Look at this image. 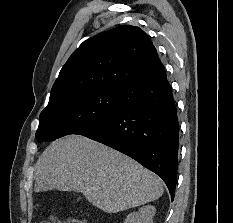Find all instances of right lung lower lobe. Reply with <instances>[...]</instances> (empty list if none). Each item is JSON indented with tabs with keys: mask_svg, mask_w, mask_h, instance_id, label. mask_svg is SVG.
Returning a JSON list of instances; mask_svg holds the SVG:
<instances>
[{
	"mask_svg": "<svg viewBox=\"0 0 233 223\" xmlns=\"http://www.w3.org/2000/svg\"><path fill=\"white\" fill-rule=\"evenodd\" d=\"M120 109L80 135L138 161L166 183L172 200L177 180L179 123L166 71L121 89Z\"/></svg>",
	"mask_w": 233,
	"mask_h": 223,
	"instance_id": "obj_1",
	"label": "right lung lower lobe"
}]
</instances>
